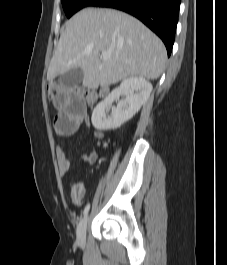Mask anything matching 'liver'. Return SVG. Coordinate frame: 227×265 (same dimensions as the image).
<instances>
[{
	"label": "liver",
	"instance_id": "1",
	"mask_svg": "<svg viewBox=\"0 0 227 265\" xmlns=\"http://www.w3.org/2000/svg\"><path fill=\"white\" fill-rule=\"evenodd\" d=\"M102 52L110 58L102 60ZM166 58L163 42L138 19L112 9L87 8L62 29L47 80L75 68L83 70L82 84L88 89L133 76L156 80Z\"/></svg>",
	"mask_w": 227,
	"mask_h": 265
}]
</instances>
